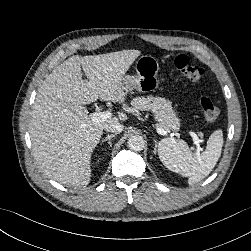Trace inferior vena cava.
I'll return each instance as SVG.
<instances>
[{
	"mask_svg": "<svg viewBox=\"0 0 251 251\" xmlns=\"http://www.w3.org/2000/svg\"><path fill=\"white\" fill-rule=\"evenodd\" d=\"M103 128L108 132L121 133L124 129V126L121 123H108L105 124Z\"/></svg>",
	"mask_w": 251,
	"mask_h": 251,
	"instance_id": "obj_1",
	"label": "inferior vena cava"
}]
</instances>
